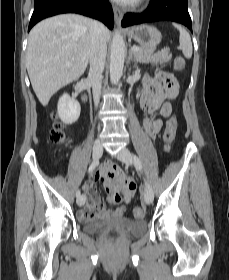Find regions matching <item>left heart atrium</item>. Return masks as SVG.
I'll use <instances>...</instances> for the list:
<instances>
[{"label": "left heart atrium", "instance_id": "obj_1", "mask_svg": "<svg viewBox=\"0 0 229 280\" xmlns=\"http://www.w3.org/2000/svg\"><path fill=\"white\" fill-rule=\"evenodd\" d=\"M114 1L120 2L125 5H131L134 4L137 0H114Z\"/></svg>", "mask_w": 229, "mask_h": 280}]
</instances>
